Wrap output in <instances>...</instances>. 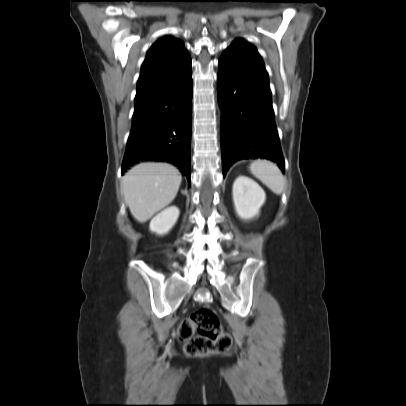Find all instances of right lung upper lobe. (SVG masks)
Instances as JSON below:
<instances>
[{"instance_id":"1","label":"right lung upper lobe","mask_w":406,"mask_h":406,"mask_svg":"<svg viewBox=\"0 0 406 406\" xmlns=\"http://www.w3.org/2000/svg\"><path fill=\"white\" fill-rule=\"evenodd\" d=\"M191 67V58L181 40L163 37L149 49L137 83L136 96L159 88Z\"/></svg>"}]
</instances>
